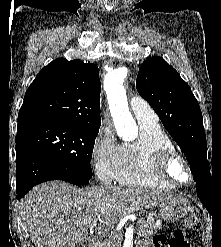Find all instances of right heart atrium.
I'll list each match as a JSON object with an SVG mask.
<instances>
[{
	"label": "right heart atrium",
	"instance_id": "obj_1",
	"mask_svg": "<svg viewBox=\"0 0 221 247\" xmlns=\"http://www.w3.org/2000/svg\"><path fill=\"white\" fill-rule=\"evenodd\" d=\"M120 146L109 128H101L93 142L91 161L97 178L112 182L117 174Z\"/></svg>",
	"mask_w": 221,
	"mask_h": 247
}]
</instances>
